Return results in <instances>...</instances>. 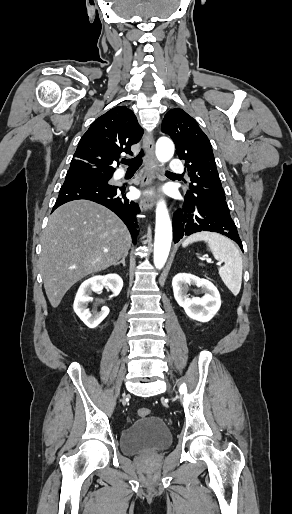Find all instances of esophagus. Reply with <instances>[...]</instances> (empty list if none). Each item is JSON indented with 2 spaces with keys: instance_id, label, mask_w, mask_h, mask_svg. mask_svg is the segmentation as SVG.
<instances>
[{
  "instance_id": "obj_1",
  "label": "esophagus",
  "mask_w": 292,
  "mask_h": 514,
  "mask_svg": "<svg viewBox=\"0 0 292 514\" xmlns=\"http://www.w3.org/2000/svg\"><path fill=\"white\" fill-rule=\"evenodd\" d=\"M144 156V174L141 179V188H150L153 185L156 171V159L154 156V138L150 134H146L143 139ZM155 200L153 197H143L139 201L141 210L147 211L154 207Z\"/></svg>"
}]
</instances>
